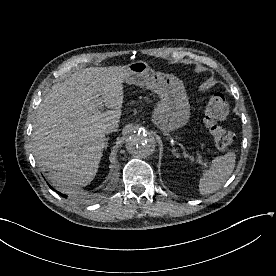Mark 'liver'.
Listing matches in <instances>:
<instances>
[{
    "instance_id": "obj_1",
    "label": "liver",
    "mask_w": 276,
    "mask_h": 276,
    "mask_svg": "<svg viewBox=\"0 0 276 276\" xmlns=\"http://www.w3.org/2000/svg\"><path fill=\"white\" fill-rule=\"evenodd\" d=\"M127 66L90 67L54 84L42 100L33 125L34 156L60 192L76 194L95 177L108 122H119ZM99 103L107 107L102 112Z\"/></svg>"
}]
</instances>
